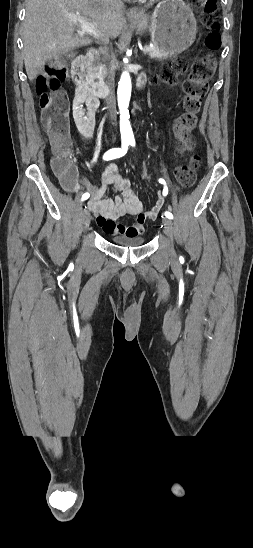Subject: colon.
<instances>
[{
  "label": "colon",
  "mask_w": 253,
  "mask_h": 548,
  "mask_svg": "<svg viewBox=\"0 0 253 548\" xmlns=\"http://www.w3.org/2000/svg\"><path fill=\"white\" fill-rule=\"evenodd\" d=\"M191 4L202 8L204 23L208 33L205 38L206 47L215 51L220 47L221 40L217 33L219 22L217 20L216 0H189ZM216 59L208 54L192 63L188 77L182 87L184 92L183 106L185 112L176 120L174 130L178 138L190 146L189 134L196 124V114L208 92L209 81L216 69ZM187 71L184 61L176 60L171 64L161 67L155 81L174 84L179 75ZM67 69L63 60L58 59L46 65L42 73L37 77L35 88L39 95L41 107V122L52 138L54 159L52 167L54 172L63 179L74 174V167L70 161L71 142L68 127L69 101L67 95L60 90L61 82L66 78ZM140 171V179L149 182L153 174L149 171L148 164H143ZM200 165V157L193 155L189 163L178 166L175 169V177L183 186H191L196 179V169Z\"/></svg>",
  "instance_id": "1"
}]
</instances>
